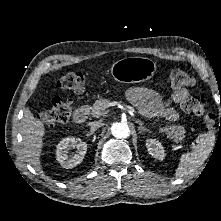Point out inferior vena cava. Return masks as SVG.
<instances>
[{
	"label": "inferior vena cava",
	"instance_id": "1",
	"mask_svg": "<svg viewBox=\"0 0 221 221\" xmlns=\"http://www.w3.org/2000/svg\"><path fill=\"white\" fill-rule=\"evenodd\" d=\"M90 125H91V132H95V130L102 127L104 123H102V120H98V121L91 122Z\"/></svg>",
	"mask_w": 221,
	"mask_h": 221
}]
</instances>
